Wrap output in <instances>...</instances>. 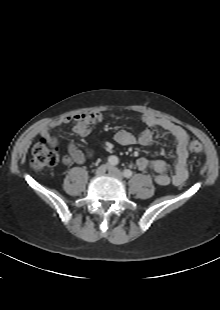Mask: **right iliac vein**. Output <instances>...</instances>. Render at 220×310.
<instances>
[{"label": "right iliac vein", "mask_w": 220, "mask_h": 310, "mask_svg": "<svg viewBox=\"0 0 220 310\" xmlns=\"http://www.w3.org/2000/svg\"><path fill=\"white\" fill-rule=\"evenodd\" d=\"M108 169H109V165L108 164H103V165L99 166L96 169V173L95 174L97 176L103 175Z\"/></svg>", "instance_id": "1"}]
</instances>
